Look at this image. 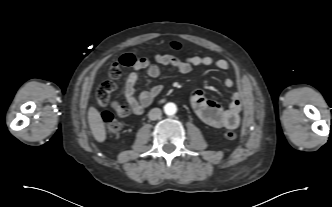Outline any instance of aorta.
Segmentation results:
<instances>
[{
	"label": "aorta",
	"instance_id": "762f6f07",
	"mask_svg": "<svg viewBox=\"0 0 332 207\" xmlns=\"http://www.w3.org/2000/svg\"><path fill=\"white\" fill-rule=\"evenodd\" d=\"M164 112L168 116L174 115L177 112V107L174 103L169 102L164 106Z\"/></svg>",
	"mask_w": 332,
	"mask_h": 207
}]
</instances>
